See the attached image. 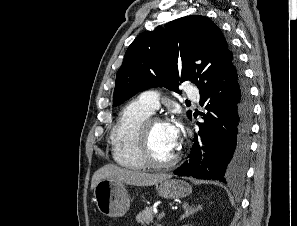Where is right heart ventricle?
I'll return each mask as SVG.
<instances>
[{
	"instance_id": "1",
	"label": "right heart ventricle",
	"mask_w": 297,
	"mask_h": 226,
	"mask_svg": "<svg viewBox=\"0 0 297 226\" xmlns=\"http://www.w3.org/2000/svg\"><path fill=\"white\" fill-rule=\"evenodd\" d=\"M152 113L139 99L129 102L122 109L110 133L112 157L117 164L129 169L145 168L138 151L137 133Z\"/></svg>"
}]
</instances>
